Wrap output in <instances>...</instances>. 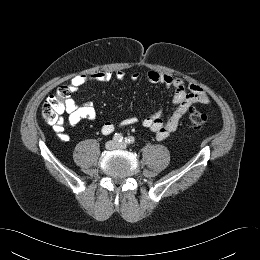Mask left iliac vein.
I'll return each mask as SVG.
<instances>
[{
    "label": "left iliac vein",
    "mask_w": 260,
    "mask_h": 260,
    "mask_svg": "<svg viewBox=\"0 0 260 260\" xmlns=\"http://www.w3.org/2000/svg\"><path fill=\"white\" fill-rule=\"evenodd\" d=\"M116 147H117L118 149H125V148H126V144H125V143H118V144L116 145Z\"/></svg>",
    "instance_id": "4c4485c4"
}]
</instances>
